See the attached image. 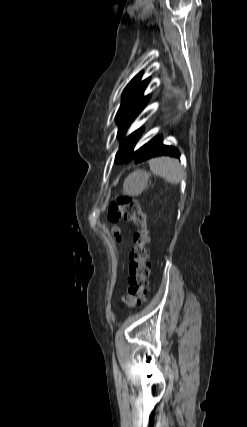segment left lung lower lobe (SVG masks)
Returning <instances> with one entry per match:
<instances>
[{
    "mask_svg": "<svg viewBox=\"0 0 247 427\" xmlns=\"http://www.w3.org/2000/svg\"><path fill=\"white\" fill-rule=\"evenodd\" d=\"M163 138L161 135L156 136L151 141L143 145L140 149L136 151L134 156V162L140 163L158 156L169 155L172 157H180L178 149L163 145Z\"/></svg>",
    "mask_w": 247,
    "mask_h": 427,
    "instance_id": "obj_1",
    "label": "left lung lower lobe"
}]
</instances>
